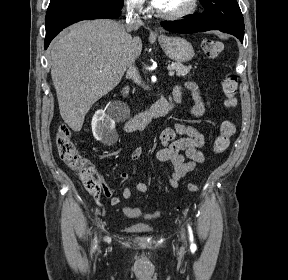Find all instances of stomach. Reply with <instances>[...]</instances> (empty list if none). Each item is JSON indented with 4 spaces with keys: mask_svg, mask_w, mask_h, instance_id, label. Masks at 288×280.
<instances>
[{
    "mask_svg": "<svg viewBox=\"0 0 288 280\" xmlns=\"http://www.w3.org/2000/svg\"><path fill=\"white\" fill-rule=\"evenodd\" d=\"M158 41L165 54L177 63L188 62L194 56L191 43L182 37L162 35Z\"/></svg>",
    "mask_w": 288,
    "mask_h": 280,
    "instance_id": "1",
    "label": "stomach"
}]
</instances>
